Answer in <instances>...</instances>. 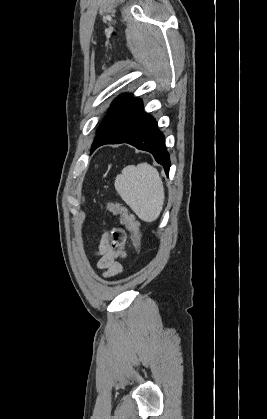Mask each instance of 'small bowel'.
I'll return each instance as SVG.
<instances>
[{"label":"small bowel","mask_w":267,"mask_h":419,"mask_svg":"<svg viewBox=\"0 0 267 419\" xmlns=\"http://www.w3.org/2000/svg\"><path fill=\"white\" fill-rule=\"evenodd\" d=\"M126 235L121 229L105 233L99 243L96 255L97 268L103 270L104 277H112L122 272V260L126 256Z\"/></svg>","instance_id":"small-bowel-1"}]
</instances>
